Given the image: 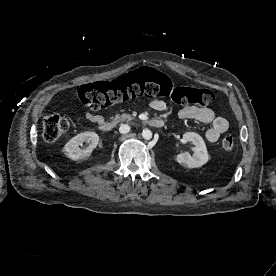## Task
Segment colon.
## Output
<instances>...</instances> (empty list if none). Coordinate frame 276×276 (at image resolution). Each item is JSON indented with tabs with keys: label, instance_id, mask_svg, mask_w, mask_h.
Segmentation results:
<instances>
[{
	"label": "colon",
	"instance_id": "colon-1",
	"mask_svg": "<svg viewBox=\"0 0 276 276\" xmlns=\"http://www.w3.org/2000/svg\"><path fill=\"white\" fill-rule=\"evenodd\" d=\"M80 100L92 109H102L136 98H167L178 105L207 106L214 95L205 88L177 86L164 73L150 67H140L113 82H96L83 85L78 90ZM72 121L57 113L47 114L43 119V137L56 141L71 126ZM234 137L225 135L221 140L224 152H232Z\"/></svg>",
	"mask_w": 276,
	"mask_h": 276
}]
</instances>
